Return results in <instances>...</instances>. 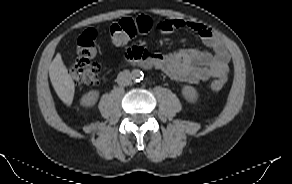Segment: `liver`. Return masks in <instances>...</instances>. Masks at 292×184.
Here are the masks:
<instances>
[{
    "instance_id": "obj_1",
    "label": "liver",
    "mask_w": 292,
    "mask_h": 184,
    "mask_svg": "<svg viewBox=\"0 0 292 184\" xmlns=\"http://www.w3.org/2000/svg\"><path fill=\"white\" fill-rule=\"evenodd\" d=\"M49 77L58 97L70 106L73 101L75 86L59 53L50 65Z\"/></svg>"
}]
</instances>
